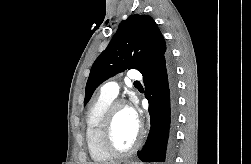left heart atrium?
I'll use <instances>...</instances> for the list:
<instances>
[{"label": "left heart atrium", "instance_id": "39dd6f15", "mask_svg": "<svg viewBox=\"0 0 251 164\" xmlns=\"http://www.w3.org/2000/svg\"><path fill=\"white\" fill-rule=\"evenodd\" d=\"M126 108L131 120L133 121L134 124L138 126V113L136 108L134 106H128Z\"/></svg>", "mask_w": 251, "mask_h": 164}]
</instances>
